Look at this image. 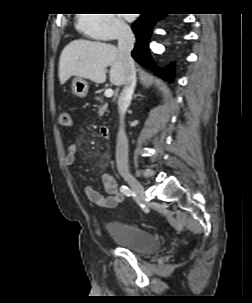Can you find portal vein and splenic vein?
<instances>
[{
  "instance_id": "obj_1",
  "label": "portal vein and splenic vein",
  "mask_w": 252,
  "mask_h": 303,
  "mask_svg": "<svg viewBox=\"0 0 252 303\" xmlns=\"http://www.w3.org/2000/svg\"><path fill=\"white\" fill-rule=\"evenodd\" d=\"M114 94V91L112 89H107L105 92H104V95L107 97V98H111Z\"/></svg>"
}]
</instances>
